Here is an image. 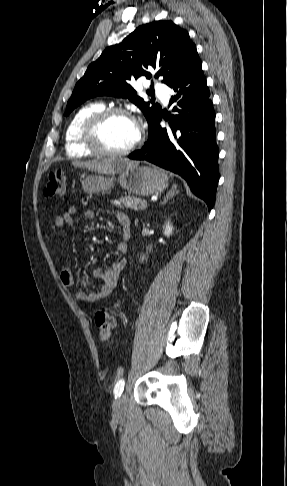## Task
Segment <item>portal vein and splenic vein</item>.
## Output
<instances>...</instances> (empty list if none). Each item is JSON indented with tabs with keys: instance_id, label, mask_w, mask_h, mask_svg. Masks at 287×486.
Masks as SVG:
<instances>
[{
	"instance_id": "obj_1",
	"label": "portal vein and splenic vein",
	"mask_w": 287,
	"mask_h": 486,
	"mask_svg": "<svg viewBox=\"0 0 287 486\" xmlns=\"http://www.w3.org/2000/svg\"><path fill=\"white\" fill-rule=\"evenodd\" d=\"M142 207H143V208H147V204H145V205H142Z\"/></svg>"
}]
</instances>
